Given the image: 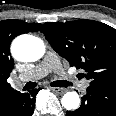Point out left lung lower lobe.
I'll list each match as a JSON object with an SVG mask.
<instances>
[{
	"mask_svg": "<svg viewBox=\"0 0 116 116\" xmlns=\"http://www.w3.org/2000/svg\"><path fill=\"white\" fill-rule=\"evenodd\" d=\"M67 116H116V88L88 87L80 108Z\"/></svg>",
	"mask_w": 116,
	"mask_h": 116,
	"instance_id": "left-lung-lower-lobe-1",
	"label": "left lung lower lobe"
}]
</instances>
